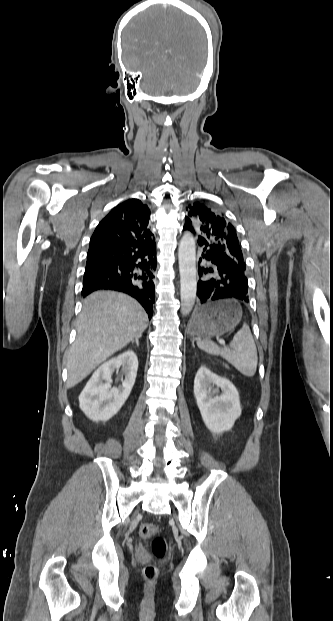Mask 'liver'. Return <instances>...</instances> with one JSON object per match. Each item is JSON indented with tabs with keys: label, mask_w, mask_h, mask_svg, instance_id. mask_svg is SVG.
Here are the masks:
<instances>
[{
	"label": "liver",
	"mask_w": 333,
	"mask_h": 621,
	"mask_svg": "<svg viewBox=\"0 0 333 621\" xmlns=\"http://www.w3.org/2000/svg\"><path fill=\"white\" fill-rule=\"evenodd\" d=\"M148 316L133 298L112 291L87 296L77 324V337L66 356L69 387L86 378L100 363L141 337Z\"/></svg>",
	"instance_id": "obj_1"
}]
</instances>
